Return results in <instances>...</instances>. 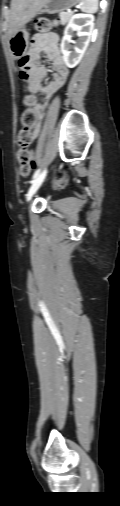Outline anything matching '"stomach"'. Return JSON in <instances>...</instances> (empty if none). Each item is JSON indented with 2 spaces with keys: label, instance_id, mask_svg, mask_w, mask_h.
<instances>
[{
  "label": "stomach",
  "instance_id": "0dacf381",
  "mask_svg": "<svg viewBox=\"0 0 120 506\" xmlns=\"http://www.w3.org/2000/svg\"><path fill=\"white\" fill-rule=\"evenodd\" d=\"M79 1L80 0H47L42 11L51 14L62 12L75 6ZM28 45L29 33L24 28L19 29L9 38V47L15 59L21 58L27 52Z\"/></svg>",
  "mask_w": 120,
  "mask_h": 506
}]
</instances>
